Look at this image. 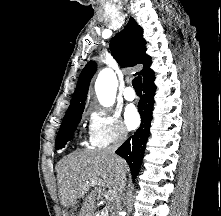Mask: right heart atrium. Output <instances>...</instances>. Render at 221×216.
Returning <instances> with one entry per match:
<instances>
[{
  "label": "right heart atrium",
  "instance_id": "1",
  "mask_svg": "<svg viewBox=\"0 0 221 216\" xmlns=\"http://www.w3.org/2000/svg\"><path fill=\"white\" fill-rule=\"evenodd\" d=\"M89 113V141L94 147L119 144L128 138V130L116 112L91 107Z\"/></svg>",
  "mask_w": 221,
  "mask_h": 216
}]
</instances>
